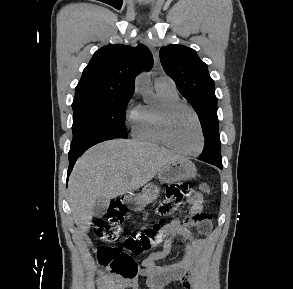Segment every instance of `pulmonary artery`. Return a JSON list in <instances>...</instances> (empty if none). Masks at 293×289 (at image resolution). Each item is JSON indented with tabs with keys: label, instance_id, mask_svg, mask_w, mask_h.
Segmentation results:
<instances>
[{
	"label": "pulmonary artery",
	"instance_id": "obj_1",
	"mask_svg": "<svg viewBox=\"0 0 293 289\" xmlns=\"http://www.w3.org/2000/svg\"><path fill=\"white\" fill-rule=\"evenodd\" d=\"M155 88H170L175 89L173 80L168 76H161L155 80Z\"/></svg>",
	"mask_w": 293,
	"mask_h": 289
}]
</instances>
